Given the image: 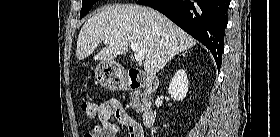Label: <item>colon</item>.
<instances>
[{
    "mask_svg": "<svg viewBox=\"0 0 280 137\" xmlns=\"http://www.w3.org/2000/svg\"><path fill=\"white\" fill-rule=\"evenodd\" d=\"M82 111L89 117L95 118L99 113V105L94 100H84L81 103ZM131 137H142V130L138 128H131Z\"/></svg>",
    "mask_w": 280,
    "mask_h": 137,
    "instance_id": "1",
    "label": "colon"
}]
</instances>
